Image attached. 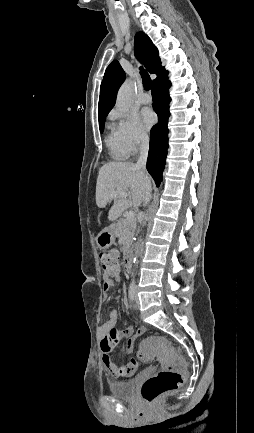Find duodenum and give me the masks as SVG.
Wrapping results in <instances>:
<instances>
[{"label":"duodenum","mask_w":254,"mask_h":433,"mask_svg":"<svg viewBox=\"0 0 254 433\" xmlns=\"http://www.w3.org/2000/svg\"><path fill=\"white\" fill-rule=\"evenodd\" d=\"M111 228L114 229V225H112ZM131 265V251L129 248H127L124 252L123 269L126 272H129L131 270Z\"/></svg>","instance_id":"1"}]
</instances>
